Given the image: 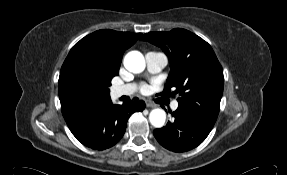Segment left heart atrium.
Here are the masks:
<instances>
[{"mask_svg":"<svg viewBox=\"0 0 287 175\" xmlns=\"http://www.w3.org/2000/svg\"><path fill=\"white\" fill-rule=\"evenodd\" d=\"M148 90V88L146 86H144L143 91L146 92Z\"/></svg>","mask_w":287,"mask_h":175,"instance_id":"39dd6f15","label":"left heart atrium"}]
</instances>
